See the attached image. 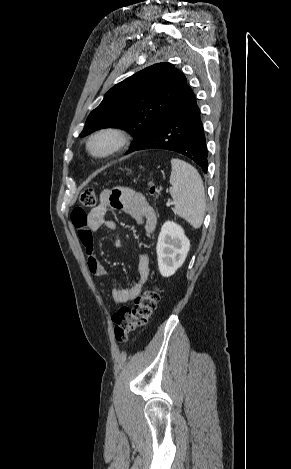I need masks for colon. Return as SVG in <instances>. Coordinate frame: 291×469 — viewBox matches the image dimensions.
<instances>
[{"mask_svg": "<svg viewBox=\"0 0 291 469\" xmlns=\"http://www.w3.org/2000/svg\"><path fill=\"white\" fill-rule=\"evenodd\" d=\"M154 188L150 186L149 193H153ZM97 196L92 188H84L80 193V203L84 207H93L96 205ZM83 211L77 208L73 211L75 215ZM159 289L152 286L146 289L135 300L132 308L122 307L112 317L114 324V336L120 343H125L129 339V335L134 330L145 327L152 318L153 312L159 301Z\"/></svg>", "mask_w": 291, "mask_h": 469, "instance_id": "obj_1", "label": "colon"}]
</instances>
